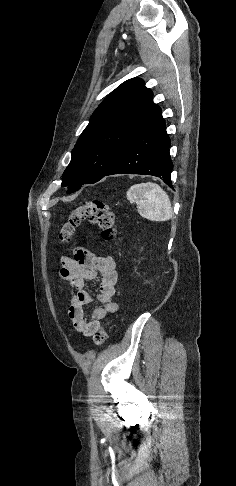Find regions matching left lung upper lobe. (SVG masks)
I'll return each instance as SVG.
<instances>
[{"mask_svg":"<svg viewBox=\"0 0 236 486\" xmlns=\"http://www.w3.org/2000/svg\"><path fill=\"white\" fill-rule=\"evenodd\" d=\"M152 91L132 78L111 92L98 106L80 135L63 174L68 193L102 179L130 144L161 115Z\"/></svg>","mask_w":236,"mask_h":486,"instance_id":"left-lung-upper-lobe-1","label":"left lung upper lobe"}]
</instances>
